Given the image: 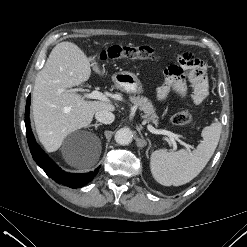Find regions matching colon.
<instances>
[{"mask_svg":"<svg viewBox=\"0 0 247 247\" xmlns=\"http://www.w3.org/2000/svg\"><path fill=\"white\" fill-rule=\"evenodd\" d=\"M156 50L153 47L142 45V46H130V45H113L103 51L102 59H151L156 57ZM171 121L175 125L189 126L194 123V117L188 110H180L175 112Z\"/></svg>","mask_w":247,"mask_h":247,"instance_id":"5ec220e1","label":"colon"}]
</instances>
